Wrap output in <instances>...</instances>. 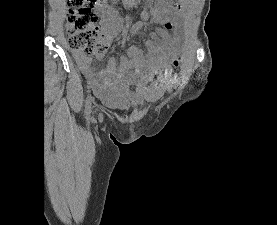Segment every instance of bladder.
Wrapping results in <instances>:
<instances>
[{
  "label": "bladder",
  "mask_w": 277,
  "mask_h": 225,
  "mask_svg": "<svg viewBox=\"0 0 277 225\" xmlns=\"http://www.w3.org/2000/svg\"><path fill=\"white\" fill-rule=\"evenodd\" d=\"M114 107L121 111H129V110L133 109V107L130 104H125V103L116 104V105H114Z\"/></svg>",
  "instance_id": "31cf9c89"
}]
</instances>
